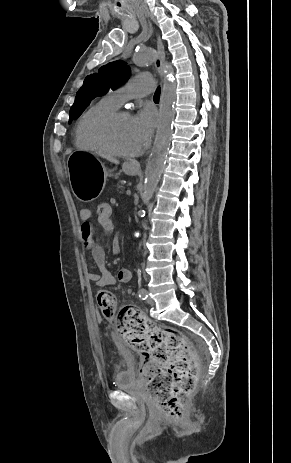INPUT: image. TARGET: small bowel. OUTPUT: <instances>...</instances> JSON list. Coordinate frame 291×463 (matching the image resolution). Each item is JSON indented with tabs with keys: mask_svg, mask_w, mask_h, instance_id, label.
I'll use <instances>...</instances> for the list:
<instances>
[{
	"mask_svg": "<svg viewBox=\"0 0 291 463\" xmlns=\"http://www.w3.org/2000/svg\"><path fill=\"white\" fill-rule=\"evenodd\" d=\"M81 226H80V237L81 240L87 244L94 263L98 269V273L96 272H88L87 279L90 282H93L95 285L99 287H107L115 285L116 282L126 284L131 281L132 273L128 269H122L118 272L117 277H115L111 271H109L106 267V254L103 247L96 243L93 240L94 231L93 227L90 223L91 219V210L88 208H82L79 212ZM112 218V216H111ZM105 232L110 233L114 230V224L112 223L111 226H102ZM112 244L111 247L113 248V252L118 254L120 252V244H121V234L118 231H115L112 234Z\"/></svg>",
	"mask_w": 291,
	"mask_h": 463,
	"instance_id": "obj_1",
	"label": "small bowel"
}]
</instances>
